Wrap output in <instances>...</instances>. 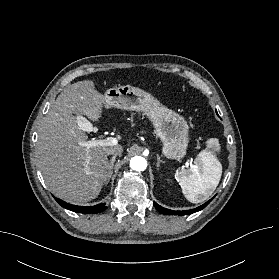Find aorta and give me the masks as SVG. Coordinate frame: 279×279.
<instances>
[{"instance_id":"aorta-1","label":"aorta","mask_w":279,"mask_h":279,"mask_svg":"<svg viewBox=\"0 0 279 279\" xmlns=\"http://www.w3.org/2000/svg\"><path fill=\"white\" fill-rule=\"evenodd\" d=\"M147 167V161L141 156L132 157L130 160V168L135 171H144Z\"/></svg>"}]
</instances>
